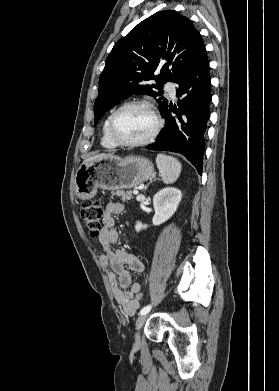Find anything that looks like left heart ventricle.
<instances>
[{"instance_id": "obj_1", "label": "left heart ventricle", "mask_w": 279, "mask_h": 391, "mask_svg": "<svg viewBox=\"0 0 279 391\" xmlns=\"http://www.w3.org/2000/svg\"><path fill=\"white\" fill-rule=\"evenodd\" d=\"M154 124V119L147 109L128 107L117 115L114 132L123 141H139L151 133Z\"/></svg>"}]
</instances>
